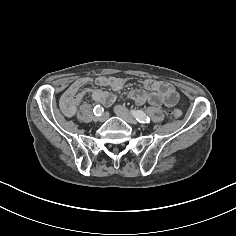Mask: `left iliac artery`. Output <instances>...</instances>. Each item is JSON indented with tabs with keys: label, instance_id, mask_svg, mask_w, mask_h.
<instances>
[{
	"label": "left iliac artery",
	"instance_id": "1",
	"mask_svg": "<svg viewBox=\"0 0 236 236\" xmlns=\"http://www.w3.org/2000/svg\"><path fill=\"white\" fill-rule=\"evenodd\" d=\"M131 113L138 122L143 123V124L150 123V118L143 111L132 110Z\"/></svg>",
	"mask_w": 236,
	"mask_h": 236
}]
</instances>
